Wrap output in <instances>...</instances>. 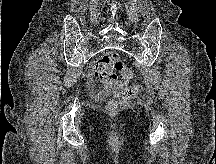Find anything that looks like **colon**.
Returning <instances> with one entry per match:
<instances>
[{
  "mask_svg": "<svg viewBox=\"0 0 216 164\" xmlns=\"http://www.w3.org/2000/svg\"><path fill=\"white\" fill-rule=\"evenodd\" d=\"M96 69L103 83L116 95L117 101L108 105L114 113L119 107L129 105L140 95V87L133 84V74L121 61L118 54L109 52L99 58Z\"/></svg>",
  "mask_w": 216,
  "mask_h": 164,
  "instance_id": "5ec220e1",
  "label": "colon"
}]
</instances>
